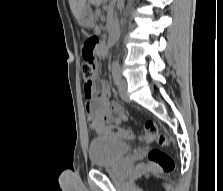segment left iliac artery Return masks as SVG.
I'll return each mask as SVG.
<instances>
[{"instance_id":"obj_1","label":"left iliac artery","mask_w":223,"mask_h":191,"mask_svg":"<svg viewBox=\"0 0 223 191\" xmlns=\"http://www.w3.org/2000/svg\"><path fill=\"white\" fill-rule=\"evenodd\" d=\"M112 73H113L114 82L116 85H118L121 79L120 66L118 63L113 64Z\"/></svg>"}]
</instances>
